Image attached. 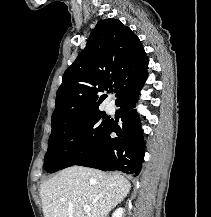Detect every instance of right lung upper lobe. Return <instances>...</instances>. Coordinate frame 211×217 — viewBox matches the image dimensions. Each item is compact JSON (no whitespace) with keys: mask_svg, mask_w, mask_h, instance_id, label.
Segmentation results:
<instances>
[{"mask_svg":"<svg viewBox=\"0 0 211 217\" xmlns=\"http://www.w3.org/2000/svg\"><path fill=\"white\" fill-rule=\"evenodd\" d=\"M148 58L139 38L117 19L99 20L86 48L65 71L57 90L52 128L99 110L112 87L117 100L146 73ZM116 100V101H117Z\"/></svg>","mask_w":211,"mask_h":217,"instance_id":"1","label":"right lung upper lobe"}]
</instances>
